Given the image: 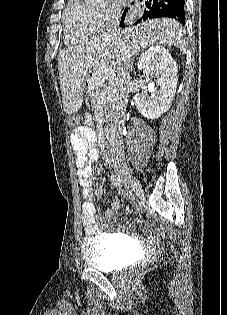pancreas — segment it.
<instances>
[{
  "label": "pancreas",
  "instance_id": "1",
  "mask_svg": "<svg viewBox=\"0 0 227 315\" xmlns=\"http://www.w3.org/2000/svg\"><path fill=\"white\" fill-rule=\"evenodd\" d=\"M96 77L93 76L89 79V96L91 99V104L97 109L100 110L101 113L104 115V121L109 122L111 117V108H112V100H113V93L111 95L103 96L104 89L98 85L93 84L94 79Z\"/></svg>",
  "mask_w": 227,
  "mask_h": 315
}]
</instances>
